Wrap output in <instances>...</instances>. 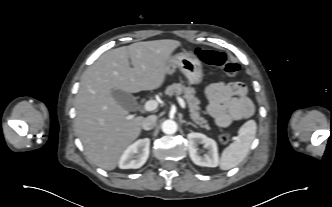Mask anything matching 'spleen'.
<instances>
[{
    "label": "spleen",
    "instance_id": "3e777b00",
    "mask_svg": "<svg viewBox=\"0 0 332 207\" xmlns=\"http://www.w3.org/2000/svg\"><path fill=\"white\" fill-rule=\"evenodd\" d=\"M256 129L254 120H249L241 126L237 139L222 152L219 163L222 170H229L243 161L255 138Z\"/></svg>",
    "mask_w": 332,
    "mask_h": 207
}]
</instances>
